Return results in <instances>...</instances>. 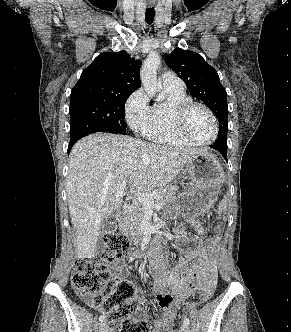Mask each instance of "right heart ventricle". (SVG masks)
<instances>
[{
    "label": "right heart ventricle",
    "instance_id": "1",
    "mask_svg": "<svg viewBox=\"0 0 291 332\" xmlns=\"http://www.w3.org/2000/svg\"><path fill=\"white\" fill-rule=\"evenodd\" d=\"M167 100L154 104L150 108V117L147 125L140 131L147 139L165 145L193 146L194 144L185 139L176 129L174 111L184 102L191 101L185 91L176 92L165 90Z\"/></svg>",
    "mask_w": 291,
    "mask_h": 332
}]
</instances>
